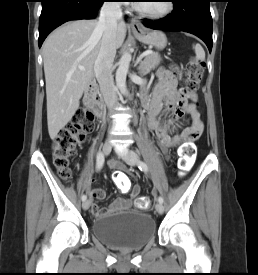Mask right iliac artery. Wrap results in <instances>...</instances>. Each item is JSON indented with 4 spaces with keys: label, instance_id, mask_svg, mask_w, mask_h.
I'll list each match as a JSON object with an SVG mask.
<instances>
[{
    "label": "right iliac artery",
    "instance_id": "right-iliac-artery-1",
    "mask_svg": "<svg viewBox=\"0 0 258 275\" xmlns=\"http://www.w3.org/2000/svg\"><path fill=\"white\" fill-rule=\"evenodd\" d=\"M103 164H104V155L101 152H99L97 154L96 170H100L102 168ZM86 198H87L86 195H82V197H81L82 201H85Z\"/></svg>",
    "mask_w": 258,
    "mask_h": 275
}]
</instances>
